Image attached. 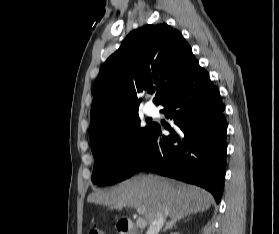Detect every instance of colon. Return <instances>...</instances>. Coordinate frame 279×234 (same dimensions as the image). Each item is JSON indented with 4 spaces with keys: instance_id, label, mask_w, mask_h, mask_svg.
<instances>
[{
    "instance_id": "5ec220e1",
    "label": "colon",
    "mask_w": 279,
    "mask_h": 234,
    "mask_svg": "<svg viewBox=\"0 0 279 234\" xmlns=\"http://www.w3.org/2000/svg\"><path fill=\"white\" fill-rule=\"evenodd\" d=\"M87 234H104V232L102 231L101 228H99L98 226L94 225L92 226L89 230Z\"/></svg>"
}]
</instances>
